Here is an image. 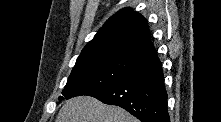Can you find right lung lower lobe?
I'll return each instance as SVG.
<instances>
[{
	"label": "right lung lower lobe",
	"mask_w": 221,
	"mask_h": 122,
	"mask_svg": "<svg viewBox=\"0 0 221 122\" xmlns=\"http://www.w3.org/2000/svg\"><path fill=\"white\" fill-rule=\"evenodd\" d=\"M89 96L120 106L142 122H170L162 64L155 50L137 60L121 79Z\"/></svg>",
	"instance_id": "1"
}]
</instances>
